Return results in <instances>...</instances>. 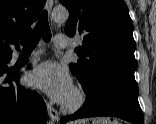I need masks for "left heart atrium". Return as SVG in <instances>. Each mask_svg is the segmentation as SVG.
<instances>
[{"label": "left heart atrium", "mask_w": 156, "mask_h": 124, "mask_svg": "<svg viewBox=\"0 0 156 124\" xmlns=\"http://www.w3.org/2000/svg\"><path fill=\"white\" fill-rule=\"evenodd\" d=\"M30 80L35 87L59 103H64L73 91L68 71L53 61L38 65L31 73Z\"/></svg>", "instance_id": "left-heart-atrium-1"}]
</instances>
